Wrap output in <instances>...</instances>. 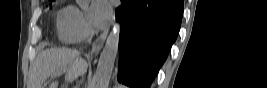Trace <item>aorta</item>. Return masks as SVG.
<instances>
[{
    "mask_svg": "<svg viewBox=\"0 0 267 88\" xmlns=\"http://www.w3.org/2000/svg\"><path fill=\"white\" fill-rule=\"evenodd\" d=\"M81 6H87L89 0H77ZM120 37V25L115 23L109 33L105 46L100 55L97 69L93 77L91 88H108L112 69L118 52Z\"/></svg>",
    "mask_w": 267,
    "mask_h": 88,
    "instance_id": "aorta-1",
    "label": "aorta"
}]
</instances>
